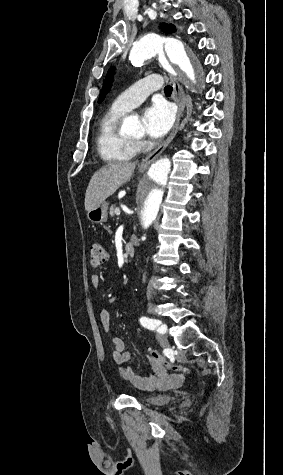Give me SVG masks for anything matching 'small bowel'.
Segmentation results:
<instances>
[{"label":"small bowel","instance_id":"obj_1","mask_svg":"<svg viewBox=\"0 0 283 475\" xmlns=\"http://www.w3.org/2000/svg\"><path fill=\"white\" fill-rule=\"evenodd\" d=\"M101 278L94 273L90 276V284L93 288H98ZM99 322L103 331L108 334L110 330V313L106 309L99 312ZM109 340L113 346L112 360L117 365L128 364L133 359V354L125 350V342L121 337L109 335ZM153 374L149 376L137 375L131 366H127L121 370L122 377L132 383L137 388L146 386H178L182 383V377L175 374H169L165 367L162 369H152Z\"/></svg>","mask_w":283,"mask_h":475}]
</instances>
